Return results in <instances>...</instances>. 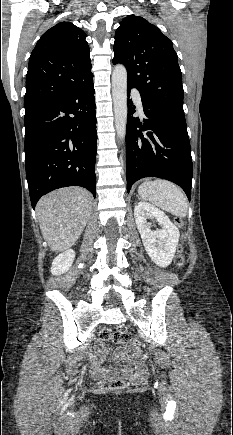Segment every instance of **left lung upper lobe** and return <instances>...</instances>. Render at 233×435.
<instances>
[{"mask_svg": "<svg viewBox=\"0 0 233 435\" xmlns=\"http://www.w3.org/2000/svg\"><path fill=\"white\" fill-rule=\"evenodd\" d=\"M113 64L127 68V84L142 98L183 108L182 75L172 41L142 17H125L115 33Z\"/></svg>", "mask_w": 233, "mask_h": 435, "instance_id": "1", "label": "left lung upper lobe"}]
</instances>
